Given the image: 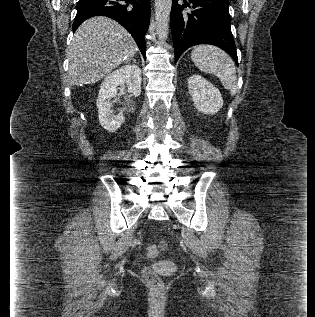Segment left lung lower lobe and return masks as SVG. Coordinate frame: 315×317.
Instances as JSON below:
<instances>
[{"label": "left lung lower lobe", "instance_id": "1", "mask_svg": "<svg viewBox=\"0 0 315 317\" xmlns=\"http://www.w3.org/2000/svg\"><path fill=\"white\" fill-rule=\"evenodd\" d=\"M179 5L172 0L170 24L175 62L194 45L212 44L227 52L238 65L235 42L231 33L229 0H189ZM192 10H186V7Z\"/></svg>", "mask_w": 315, "mask_h": 317}]
</instances>
